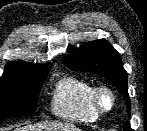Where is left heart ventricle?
Returning a JSON list of instances; mask_svg holds the SVG:
<instances>
[{
  "label": "left heart ventricle",
  "instance_id": "1",
  "mask_svg": "<svg viewBox=\"0 0 147 131\" xmlns=\"http://www.w3.org/2000/svg\"><path fill=\"white\" fill-rule=\"evenodd\" d=\"M102 103L105 105V106H108L110 104V98L108 95H104L102 97Z\"/></svg>",
  "mask_w": 147,
  "mask_h": 131
}]
</instances>
